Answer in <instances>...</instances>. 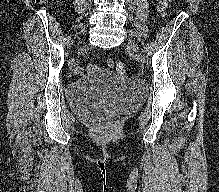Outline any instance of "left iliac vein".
I'll list each match as a JSON object with an SVG mask.
<instances>
[{
    "label": "left iliac vein",
    "mask_w": 219,
    "mask_h": 192,
    "mask_svg": "<svg viewBox=\"0 0 219 192\" xmlns=\"http://www.w3.org/2000/svg\"><path fill=\"white\" fill-rule=\"evenodd\" d=\"M128 46L130 49H132L133 51L135 52H139V49H138V46L136 44V42L133 40V39H130L129 42H128Z\"/></svg>",
    "instance_id": "obj_1"
}]
</instances>
